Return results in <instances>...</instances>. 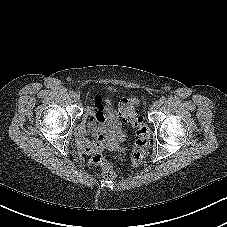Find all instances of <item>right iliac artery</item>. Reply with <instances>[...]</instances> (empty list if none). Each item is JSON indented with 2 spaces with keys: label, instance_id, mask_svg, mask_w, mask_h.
I'll list each match as a JSON object with an SVG mask.
<instances>
[{
  "label": "right iliac artery",
  "instance_id": "obj_1",
  "mask_svg": "<svg viewBox=\"0 0 227 227\" xmlns=\"http://www.w3.org/2000/svg\"><path fill=\"white\" fill-rule=\"evenodd\" d=\"M69 95H70L71 97H73V96L75 95V92H74V91H70V92H69Z\"/></svg>",
  "mask_w": 227,
  "mask_h": 227
}]
</instances>
